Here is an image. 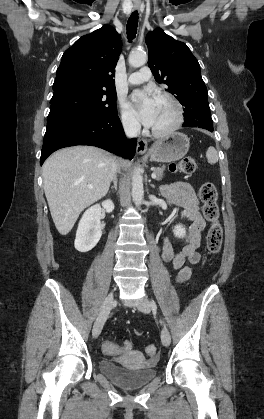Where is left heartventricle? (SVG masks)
I'll return each mask as SVG.
<instances>
[{
    "label": "left heart ventricle",
    "mask_w": 264,
    "mask_h": 419,
    "mask_svg": "<svg viewBox=\"0 0 264 419\" xmlns=\"http://www.w3.org/2000/svg\"><path fill=\"white\" fill-rule=\"evenodd\" d=\"M174 120L173 106L166 100L157 98V117L152 128L164 129L168 127Z\"/></svg>",
    "instance_id": "b2bd125f"
}]
</instances>
